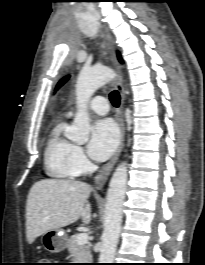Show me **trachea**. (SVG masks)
<instances>
[{"instance_id":"3493384b","label":"trachea","mask_w":205,"mask_h":265,"mask_svg":"<svg viewBox=\"0 0 205 265\" xmlns=\"http://www.w3.org/2000/svg\"><path fill=\"white\" fill-rule=\"evenodd\" d=\"M109 98L111 103L115 106L118 107L120 104V94L118 91L114 90L109 94Z\"/></svg>"}]
</instances>
